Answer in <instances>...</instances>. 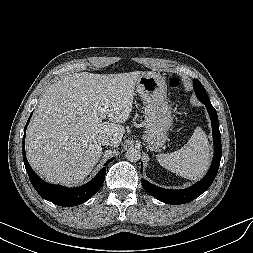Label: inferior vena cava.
Instances as JSON below:
<instances>
[{
  "label": "inferior vena cava",
  "instance_id": "602c4592",
  "mask_svg": "<svg viewBox=\"0 0 253 253\" xmlns=\"http://www.w3.org/2000/svg\"><path fill=\"white\" fill-rule=\"evenodd\" d=\"M102 145H112L113 144V139L112 138H104L102 141H101Z\"/></svg>",
  "mask_w": 253,
  "mask_h": 253
}]
</instances>
